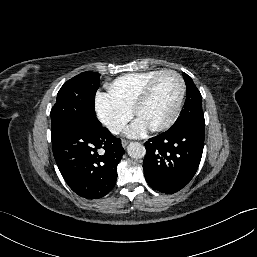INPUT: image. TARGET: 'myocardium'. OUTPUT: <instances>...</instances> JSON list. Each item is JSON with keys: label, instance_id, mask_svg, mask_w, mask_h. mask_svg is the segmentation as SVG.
<instances>
[{"label": "myocardium", "instance_id": "f54148a6", "mask_svg": "<svg viewBox=\"0 0 257 257\" xmlns=\"http://www.w3.org/2000/svg\"><path fill=\"white\" fill-rule=\"evenodd\" d=\"M165 75H173L178 79L179 85H180L179 98H178L176 106H175L174 110L172 111L171 115L169 116V118L162 124L151 128L150 131H152V132H161V131H164V130L168 129L169 127H171L174 124V122L177 120V118L180 114L181 108L183 106L184 99H185L186 84H185V81H184V78L182 77V75L174 70H163L144 87V89L138 96V98L133 106V109H132L133 114L135 116H137L139 110L143 107V105L150 98L152 91H153L155 85L157 84V82Z\"/></svg>", "mask_w": 257, "mask_h": 257}]
</instances>
